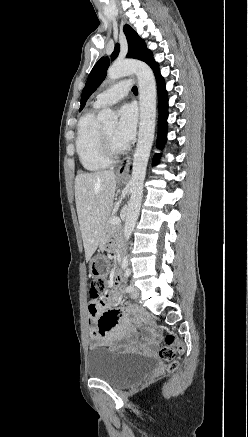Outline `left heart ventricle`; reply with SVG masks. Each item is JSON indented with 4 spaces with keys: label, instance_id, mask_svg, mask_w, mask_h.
I'll return each instance as SVG.
<instances>
[{
    "label": "left heart ventricle",
    "instance_id": "obj_1",
    "mask_svg": "<svg viewBox=\"0 0 248 437\" xmlns=\"http://www.w3.org/2000/svg\"><path fill=\"white\" fill-rule=\"evenodd\" d=\"M115 129H116V125L115 124H111L108 125L106 127L103 128V130L105 131V133L107 134V136L110 138V140L112 141V143L116 146V147H121L123 145H121L119 142L116 141L114 134H115Z\"/></svg>",
    "mask_w": 248,
    "mask_h": 437
}]
</instances>
